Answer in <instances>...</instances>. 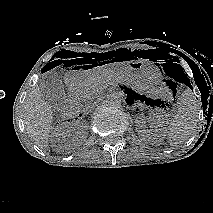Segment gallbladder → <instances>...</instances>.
<instances>
[{"label":"gallbladder","mask_w":213,"mask_h":213,"mask_svg":"<svg viewBox=\"0 0 213 213\" xmlns=\"http://www.w3.org/2000/svg\"><path fill=\"white\" fill-rule=\"evenodd\" d=\"M38 86L42 98L47 101L52 108L57 111H65L68 109L64 84L57 71H51L41 76L38 80Z\"/></svg>","instance_id":"obj_1"}]
</instances>
